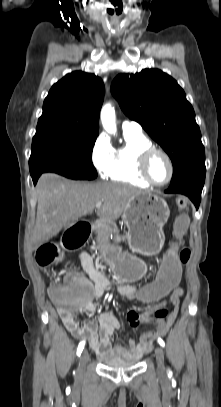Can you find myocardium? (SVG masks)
Instances as JSON below:
<instances>
[{"label": "myocardium", "mask_w": 221, "mask_h": 407, "mask_svg": "<svg viewBox=\"0 0 221 407\" xmlns=\"http://www.w3.org/2000/svg\"><path fill=\"white\" fill-rule=\"evenodd\" d=\"M156 154H161L162 156H164L169 164V169H170L169 177L167 178L166 181H164L162 183H158V182L154 181L149 173L150 160ZM138 172H139L140 176L148 184L155 186V187H163V186L168 185L174 177V173H175L174 162H173L171 156L165 150L156 148V147H151L140 154V156L138 158Z\"/></svg>", "instance_id": "myocardium-1"}]
</instances>
